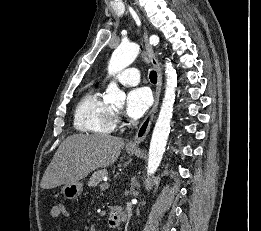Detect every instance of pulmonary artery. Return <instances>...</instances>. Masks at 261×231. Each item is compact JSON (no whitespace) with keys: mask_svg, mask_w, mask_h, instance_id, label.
Masks as SVG:
<instances>
[{"mask_svg":"<svg viewBox=\"0 0 261 231\" xmlns=\"http://www.w3.org/2000/svg\"><path fill=\"white\" fill-rule=\"evenodd\" d=\"M120 83L123 85H136L140 81V74L137 68L129 67L122 71L119 77Z\"/></svg>","mask_w":261,"mask_h":231,"instance_id":"obj_1","label":"pulmonary artery"}]
</instances>
